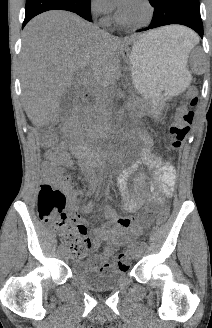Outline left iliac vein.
<instances>
[{
	"label": "left iliac vein",
	"instance_id": "1",
	"mask_svg": "<svg viewBox=\"0 0 212 328\" xmlns=\"http://www.w3.org/2000/svg\"><path fill=\"white\" fill-rule=\"evenodd\" d=\"M144 252V249L142 246H138L136 249H135V255L137 258H140L142 256Z\"/></svg>",
	"mask_w": 212,
	"mask_h": 328
}]
</instances>
